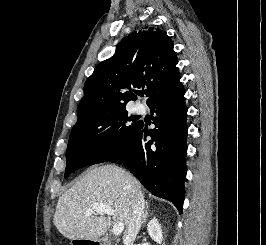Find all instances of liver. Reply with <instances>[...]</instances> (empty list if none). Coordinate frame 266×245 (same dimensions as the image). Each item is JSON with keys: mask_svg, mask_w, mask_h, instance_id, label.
<instances>
[{"mask_svg": "<svg viewBox=\"0 0 266 245\" xmlns=\"http://www.w3.org/2000/svg\"><path fill=\"white\" fill-rule=\"evenodd\" d=\"M132 189H140V183L125 169L117 165L94 167L59 197L55 227L72 241H98L108 231L109 223L100 213H86L95 203L112 207V221L127 227Z\"/></svg>", "mask_w": 266, "mask_h": 245, "instance_id": "obj_1", "label": "liver"}]
</instances>
